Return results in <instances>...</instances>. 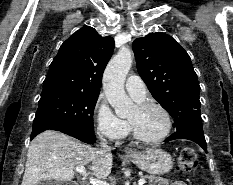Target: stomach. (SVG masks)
I'll list each match as a JSON object with an SVG mask.
<instances>
[{
  "label": "stomach",
  "mask_w": 233,
  "mask_h": 185,
  "mask_svg": "<svg viewBox=\"0 0 233 185\" xmlns=\"http://www.w3.org/2000/svg\"><path fill=\"white\" fill-rule=\"evenodd\" d=\"M140 169L153 175L168 173L173 166V159L166 151L154 148L143 152H133L127 155Z\"/></svg>",
  "instance_id": "stomach-1"
}]
</instances>
